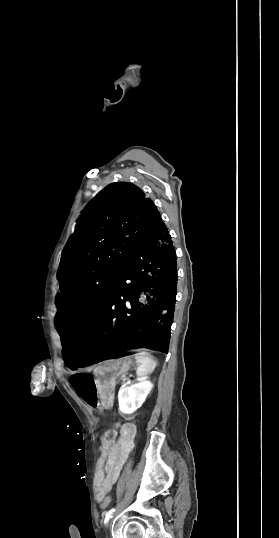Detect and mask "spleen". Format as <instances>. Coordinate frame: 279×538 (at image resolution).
<instances>
[{
	"label": "spleen",
	"instance_id": "spleen-1",
	"mask_svg": "<svg viewBox=\"0 0 279 538\" xmlns=\"http://www.w3.org/2000/svg\"><path fill=\"white\" fill-rule=\"evenodd\" d=\"M140 354H134V358L137 362V366H139V374L140 376H147V374H152L153 370H155L157 364L152 360L150 354L148 352H142V350H138Z\"/></svg>",
	"mask_w": 279,
	"mask_h": 538
}]
</instances>
